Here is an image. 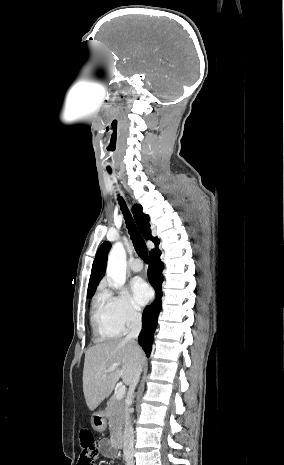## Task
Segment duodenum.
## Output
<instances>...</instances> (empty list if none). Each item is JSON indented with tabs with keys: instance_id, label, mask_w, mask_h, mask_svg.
Listing matches in <instances>:
<instances>
[{
	"instance_id": "410a0bca",
	"label": "duodenum",
	"mask_w": 284,
	"mask_h": 465,
	"mask_svg": "<svg viewBox=\"0 0 284 465\" xmlns=\"http://www.w3.org/2000/svg\"><path fill=\"white\" fill-rule=\"evenodd\" d=\"M112 443H113V445L115 446V448H120V447L122 446L123 437H122V433H121V432L115 431V434H114V436H113Z\"/></svg>"
}]
</instances>
